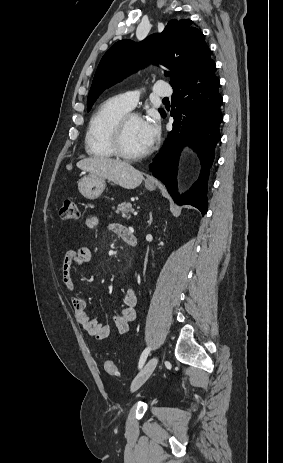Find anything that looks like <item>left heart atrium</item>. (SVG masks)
Segmentation results:
<instances>
[{"mask_svg": "<svg viewBox=\"0 0 283 463\" xmlns=\"http://www.w3.org/2000/svg\"><path fill=\"white\" fill-rule=\"evenodd\" d=\"M142 128L145 136V142L148 148H151L159 138L160 127L156 119L148 118L142 120Z\"/></svg>", "mask_w": 283, "mask_h": 463, "instance_id": "1", "label": "left heart atrium"}]
</instances>
